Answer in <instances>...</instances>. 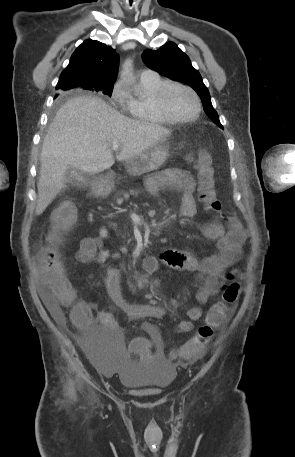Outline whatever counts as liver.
I'll return each mask as SVG.
<instances>
[{
  "mask_svg": "<svg viewBox=\"0 0 295 457\" xmlns=\"http://www.w3.org/2000/svg\"><path fill=\"white\" fill-rule=\"evenodd\" d=\"M170 134L160 125L123 116L100 98L69 99L56 113L43 141L36 215L66 187L69 166L96 174L114 164L112 142L121 147L116 159L128 162Z\"/></svg>",
  "mask_w": 295,
  "mask_h": 457,
  "instance_id": "obj_1",
  "label": "liver"
}]
</instances>
